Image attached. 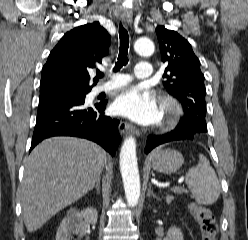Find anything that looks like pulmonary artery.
Listing matches in <instances>:
<instances>
[{"label": "pulmonary artery", "mask_w": 248, "mask_h": 240, "mask_svg": "<svg viewBox=\"0 0 248 240\" xmlns=\"http://www.w3.org/2000/svg\"><path fill=\"white\" fill-rule=\"evenodd\" d=\"M151 73H152V68L148 62L141 61L136 64L134 75L137 79L149 80L151 78ZM130 81L131 79L127 74L124 73L112 74L111 79L107 83L100 85L93 90L92 95H95L102 91H110L120 88L126 85L127 83H129Z\"/></svg>", "instance_id": "e3ab8cb5"}]
</instances>
